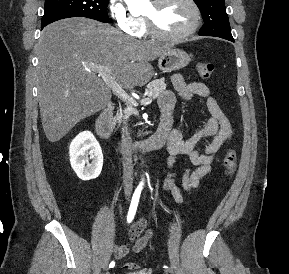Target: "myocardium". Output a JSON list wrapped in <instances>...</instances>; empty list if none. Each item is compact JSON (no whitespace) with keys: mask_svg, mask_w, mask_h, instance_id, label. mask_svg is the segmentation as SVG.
Here are the masks:
<instances>
[{"mask_svg":"<svg viewBox=\"0 0 289 274\" xmlns=\"http://www.w3.org/2000/svg\"><path fill=\"white\" fill-rule=\"evenodd\" d=\"M169 0H153L152 4L156 9L168 2ZM193 10V22L188 29L178 34H169L161 31L153 16L144 14V20L148 32L155 38L166 41H181L192 36L199 28L201 22V10L195 0H186Z\"/></svg>","mask_w":289,"mask_h":274,"instance_id":"f54148a6","label":"myocardium"}]
</instances>
